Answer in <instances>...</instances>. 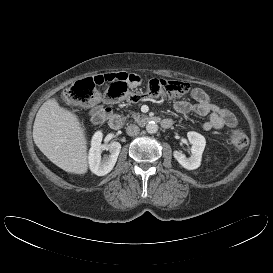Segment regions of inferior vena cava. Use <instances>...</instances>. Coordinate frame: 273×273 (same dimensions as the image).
<instances>
[{"label": "inferior vena cava", "mask_w": 273, "mask_h": 273, "mask_svg": "<svg viewBox=\"0 0 273 273\" xmlns=\"http://www.w3.org/2000/svg\"><path fill=\"white\" fill-rule=\"evenodd\" d=\"M139 132H140V128L137 125L131 124L126 128V133L129 136H136L139 134Z\"/></svg>", "instance_id": "obj_1"}]
</instances>
